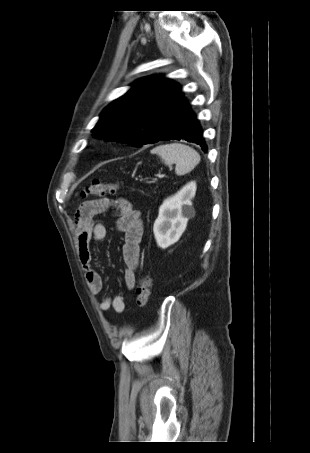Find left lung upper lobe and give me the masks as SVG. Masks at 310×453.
<instances>
[{
  "instance_id": "5c2ea615",
  "label": "left lung upper lobe",
  "mask_w": 310,
  "mask_h": 453,
  "mask_svg": "<svg viewBox=\"0 0 310 453\" xmlns=\"http://www.w3.org/2000/svg\"><path fill=\"white\" fill-rule=\"evenodd\" d=\"M182 97L181 87L171 79L142 78L103 110L92 132L136 147L156 143L167 130Z\"/></svg>"
}]
</instances>
